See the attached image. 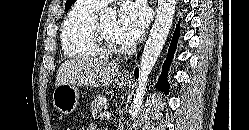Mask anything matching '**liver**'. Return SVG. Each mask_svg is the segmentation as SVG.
<instances>
[{
  "instance_id": "liver-1",
  "label": "liver",
  "mask_w": 249,
  "mask_h": 130,
  "mask_svg": "<svg viewBox=\"0 0 249 130\" xmlns=\"http://www.w3.org/2000/svg\"><path fill=\"white\" fill-rule=\"evenodd\" d=\"M120 71V66L108 60L83 57L66 60L56 75V87L62 84H82L94 87L109 86Z\"/></svg>"
}]
</instances>
